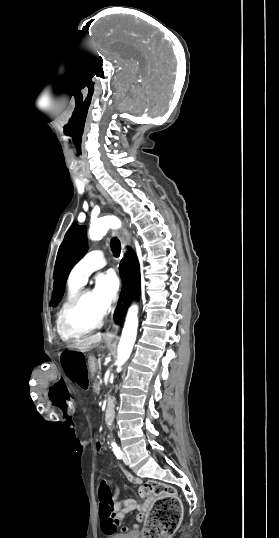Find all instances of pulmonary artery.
I'll list each match as a JSON object with an SVG mask.
<instances>
[{"label":"pulmonary artery","mask_w":279,"mask_h":538,"mask_svg":"<svg viewBox=\"0 0 279 538\" xmlns=\"http://www.w3.org/2000/svg\"><path fill=\"white\" fill-rule=\"evenodd\" d=\"M99 252H91L82 258L74 268L72 279L80 283H86L88 277L96 270L106 265L107 257L105 255L98 257ZM78 266V267H77Z\"/></svg>","instance_id":"obj_1"}]
</instances>
